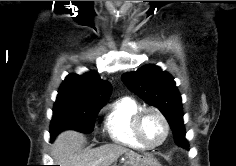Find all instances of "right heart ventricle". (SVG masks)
<instances>
[{"label":"right heart ventricle","instance_id":"right-heart-ventricle-1","mask_svg":"<svg viewBox=\"0 0 236 166\" xmlns=\"http://www.w3.org/2000/svg\"><path fill=\"white\" fill-rule=\"evenodd\" d=\"M140 109V103L129 96L115 100L107 108L104 126L113 143L136 150L145 149L133 130V119Z\"/></svg>","mask_w":236,"mask_h":166}]
</instances>
